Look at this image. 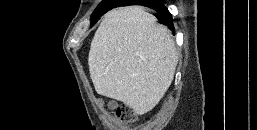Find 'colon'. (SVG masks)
Instances as JSON below:
<instances>
[{
  "instance_id": "colon-1",
  "label": "colon",
  "mask_w": 257,
  "mask_h": 130,
  "mask_svg": "<svg viewBox=\"0 0 257 130\" xmlns=\"http://www.w3.org/2000/svg\"><path fill=\"white\" fill-rule=\"evenodd\" d=\"M113 118L120 123L129 124L136 121V114L130 107L122 105L116 108Z\"/></svg>"
}]
</instances>
